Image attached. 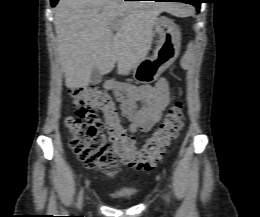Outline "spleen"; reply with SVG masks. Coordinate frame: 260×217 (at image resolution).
I'll use <instances>...</instances> for the list:
<instances>
[{
	"label": "spleen",
	"instance_id": "1",
	"mask_svg": "<svg viewBox=\"0 0 260 217\" xmlns=\"http://www.w3.org/2000/svg\"><path fill=\"white\" fill-rule=\"evenodd\" d=\"M191 46H192V43L189 44V48H191Z\"/></svg>",
	"mask_w": 260,
	"mask_h": 217
}]
</instances>
